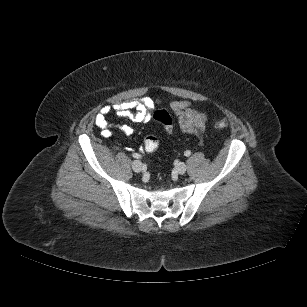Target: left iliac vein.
<instances>
[{
	"instance_id": "obj_1",
	"label": "left iliac vein",
	"mask_w": 307,
	"mask_h": 307,
	"mask_svg": "<svg viewBox=\"0 0 307 307\" xmlns=\"http://www.w3.org/2000/svg\"><path fill=\"white\" fill-rule=\"evenodd\" d=\"M186 169H187V166L183 162L178 163L175 168L176 172L180 175L184 174L186 172Z\"/></svg>"
}]
</instances>
